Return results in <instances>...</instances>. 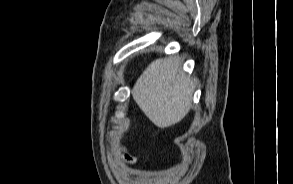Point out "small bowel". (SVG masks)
I'll list each match as a JSON object with an SVG mask.
<instances>
[{
    "instance_id": "obj_1",
    "label": "small bowel",
    "mask_w": 293,
    "mask_h": 184,
    "mask_svg": "<svg viewBox=\"0 0 293 184\" xmlns=\"http://www.w3.org/2000/svg\"><path fill=\"white\" fill-rule=\"evenodd\" d=\"M113 170L116 174L123 177L125 175V171L123 169V163L121 161H117L113 163Z\"/></svg>"
}]
</instances>
